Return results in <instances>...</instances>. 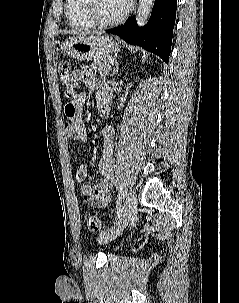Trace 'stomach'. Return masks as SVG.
<instances>
[{"instance_id": "stomach-1", "label": "stomach", "mask_w": 239, "mask_h": 303, "mask_svg": "<svg viewBox=\"0 0 239 303\" xmlns=\"http://www.w3.org/2000/svg\"><path fill=\"white\" fill-rule=\"evenodd\" d=\"M63 53L75 60L107 59L119 51V43L112 36H77L63 44Z\"/></svg>"}]
</instances>
